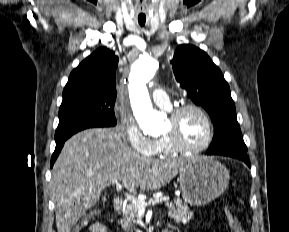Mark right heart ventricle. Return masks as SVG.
I'll list each match as a JSON object with an SVG mask.
<instances>
[{"label": "right heart ventricle", "mask_w": 289, "mask_h": 232, "mask_svg": "<svg viewBox=\"0 0 289 232\" xmlns=\"http://www.w3.org/2000/svg\"><path fill=\"white\" fill-rule=\"evenodd\" d=\"M175 153L176 152L171 149V147L168 145L164 137H161L157 140V148H156V152L154 155L160 156V157H166V156H171Z\"/></svg>", "instance_id": "1"}]
</instances>
